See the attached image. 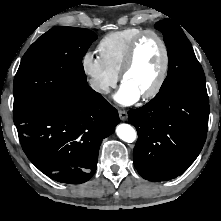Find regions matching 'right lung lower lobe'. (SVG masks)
I'll list each match as a JSON object with an SVG mask.
<instances>
[{"mask_svg": "<svg viewBox=\"0 0 221 221\" xmlns=\"http://www.w3.org/2000/svg\"><path fill=\"white\" fill-rule=\"evenodd\" d=\"M21 146L45 175L79 184L94 174L102 140L119 123L117 110L86 86L14 117Z\"/></svg>", "mask_w": 221, "mask_h": 221, "instance_id": "obj_1", "label": "right lung lower lobe"}]
</instances>
